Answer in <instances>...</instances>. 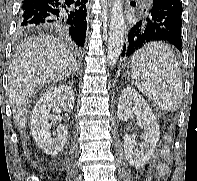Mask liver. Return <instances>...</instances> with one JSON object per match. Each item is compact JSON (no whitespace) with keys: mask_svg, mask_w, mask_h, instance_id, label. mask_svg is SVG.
<instances>
[{"mask_svg":"<svg viewBox=\"0 0 197 181\" xmlns=\"http://www.w3.org/2000/svg\"><path fill=\"white\" fill-rule=\"evenodd\" d=\"M77 62L58 39L38 35L21 42L8 69V95L14 123L20 129L27 124L26 105L33 90L58 82L77 71Z\"/></svg>","mask_w":197,"mask_h":181,"instance_id":"obj_1","label":"liver"}]
</instances>
